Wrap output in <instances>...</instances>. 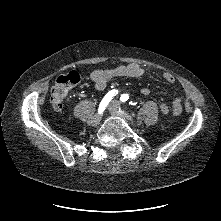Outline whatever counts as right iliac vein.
Returning <instances> with one entry per match:
<instances>
[{"label": "right iliac vein", "instance_id": "right-iliac-vein-1", "mask_svg": "<svg viewBox=\"0 0 221 221\" xmlns=\"http://www.w3.org/2000/svg\"><path fill=\"white\" fill-rule=\"evenodd\" d=\"M110 106V105H109ZM108 109H109V107H108ZM103 116V112H98V117H102Z\"/></svg>", "mask_w": 221, "mask_h": 221}]
</instances>
